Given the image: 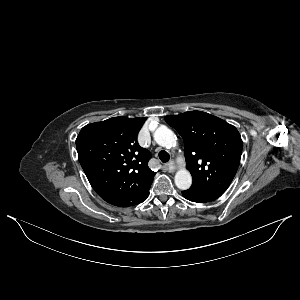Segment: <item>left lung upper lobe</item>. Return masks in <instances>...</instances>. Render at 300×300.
<instances>
[{
    "label": "left lung upper lobe",
    "mask_w": 300,
    "mask_h": 300,
    "mask_svg": "<svg viewBox=\"0 0 300 300\" xmlns=\"http://www.w3.org/2000/svg\"><path fill=\"white\" fill-rule=\"evenodd\" d=\"M181 135L191 188L223 194L231 184L242 154L238 130L226 121L201 111L165 116Z\"/></svg>",
    "instance_id": "5c2ea615"
}]
</instances>
